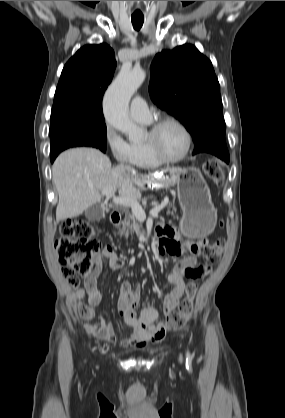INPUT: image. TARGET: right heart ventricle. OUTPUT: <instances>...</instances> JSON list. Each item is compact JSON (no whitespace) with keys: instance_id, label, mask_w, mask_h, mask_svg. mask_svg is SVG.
<instances>
[{"instance_id":"1","label":"right heart ventricle","mask_w":285,"mask_h":418,"mask_svg":"<svg viewBox=\"0 0 285 418\" xmlns=\"http://www.w3.org/2000/svg\"><path fill=\"white\" fill-rule=\"evenodd\" d=\"M129 146L132 150L133 163L135 165L154 168L162 164L150 155L144 142H130Z\"/></svg>"}]
</instances>
